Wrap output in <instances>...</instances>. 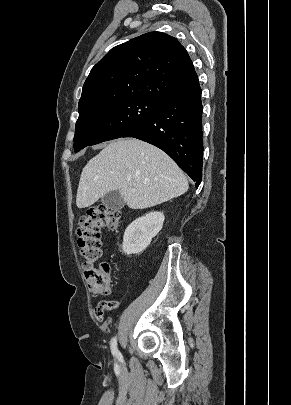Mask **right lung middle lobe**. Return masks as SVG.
<instances>
[{"instance_id":"1","label":"right lung middle lobe","mask_w":291,"mask_h":405,"mask_svg":"<svg viewBox=\"0 0 291 405\" xmlns=\"http://www.w3.org/2000/svg\"><path fill=\"white\" fill-rule=\"evenodd\" d=\"M160 101L146 98H124L79 109L74 148L123 137L144 123L159 107Z\"/></svg>"}]
</instances>
